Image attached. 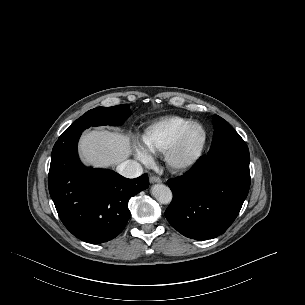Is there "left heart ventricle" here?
<instances>
[{
  "label": "left heart ventricle",
  "instance_id": "b2bd125f",
  "mask_svg": "<svg viewBox=\"0 0 305 305\" xmlns=\"http://www.w3.org/2000/svg\"><path fill=\"white\" fill-rule=\"evenodd\" d=\"M202 139H203V131L198 127L192 129L187 136L184 147V153L190 154L194 152L201 144Z\"/></svg>",
  "mask_w": 305,
  "mask_h": 305
}]
</instances>
